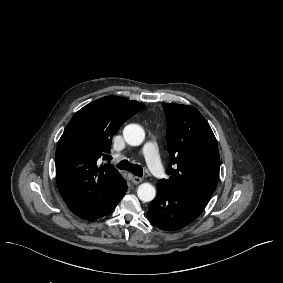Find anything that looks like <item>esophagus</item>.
<instances>
[{
  "mask_svg": "<svg viewBox=\"0 0 283 283\" xmlns=\"http://www.w3.org/2000/svg\"><path fill=\"white\" fill-rule=\"evenodd\" d=\"M131 181H132L133 184L138 185L139 183L142 182V178H140L138 176H134V177H132Z\"/></svg>",
  "mask_w": 283,
  "mask_h": 283,
  "instance_id": "esophagus-1",
  "label": "esophagus"
}]
</instances>
